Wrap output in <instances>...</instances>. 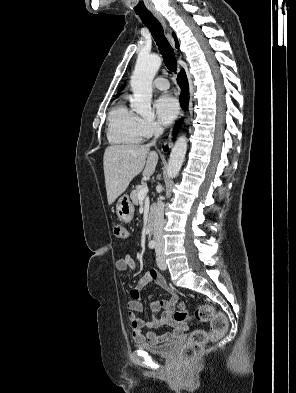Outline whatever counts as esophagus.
<instances>
[{
  "label": "esophagus",
  "instance_id": "esophagus-1",
  "mask_svg": "<svg viewBox=\"0 0 296 393\" xmlns=\"http://www.w3.org/2000/svg\"><path fill=\"white\" fill-rule=\"evenodd\" d=\"M151 13H152V14L154 15V17H155L157 20H159L160 23L163 25V27H164V29H165V32H166V36H167V38H168L170 44L174 47L176 54H178V51H177V49L175 48V43H174V39H173V37H172L171 29L168 27L166 20L164 19V17L162 16V14L159 13L158 11H156V10H151ZM182 115H183V112H181L179 118H181ZM171 137H172V131H171V133H170L168 139L170 140Z\"/></svg>",
  "mask_w": 296,
  "mask_h": 393
}]
</instances>
